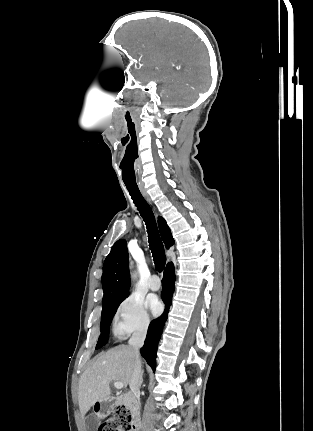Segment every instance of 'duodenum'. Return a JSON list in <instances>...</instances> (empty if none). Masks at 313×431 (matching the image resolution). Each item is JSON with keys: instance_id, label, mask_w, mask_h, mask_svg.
<instances>
[{"instance_id": "obj_1", "label": "duodenum", "mask_w": 313, "mask_h": 431, "mask_svg": "<svg viewBox=\"0 0 313 431\" xmlns=\"http://www.w3.org/2000/svg\"><path fill=\"white\" fill-rule=\"evenodd\" d=\"M119 405L126 406L131 412V430L138 431L140 427V406L132 393H125L117 398Z\"/></svg>"}]
</instances>
